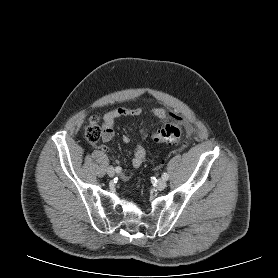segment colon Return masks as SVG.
<instances>
[{"instance_id":"5ec220e1","label":"colon","mask_w":278,"mask_h":278,"mask_svg":"<svg viewBox=\"0 0 278 278\" xmlns=\"http://www.w3.org/2000/svg\"><path fill=\"white\" fill-rule=\"evenodd\" d=\"M174 120V122L167 123L153 132L152 139L157 143H173L180 141L183 136V130L179 123V118L174 117ZM101 135L102 130L97 120H91L85 130L86 139L91 144H96L100 140Z\"/></svg>"}]
</instances>
